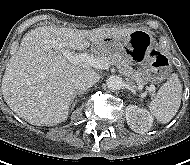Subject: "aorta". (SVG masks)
Masks as SVG:
<instances>
[{"label": "aorta", "mask_w": 190, "mask_h": 165, "mask_svg": "<svg viewBox=\"0 0 190 165\" xmlns=\"http://www.w3.org/2000/svg\"><path fill=\"white\" fill-rule=\"evenodd\" d=\"M106 84L111 90H119L123 87V79L118 75H111L107 78Z\"/></svg>", "instance_id": "762f6f07"}]
</instances>
